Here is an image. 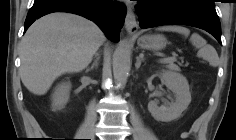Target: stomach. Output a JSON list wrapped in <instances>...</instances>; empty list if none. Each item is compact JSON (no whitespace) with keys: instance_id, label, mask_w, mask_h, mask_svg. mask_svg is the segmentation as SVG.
<instances>
[{"instance_id":"obj_1","label":"stomach","mask_w":236,"mask_h":140,"mask_svg":"<svg viewBox=\"0 0 236 140\" xmlns=\"http://www.w3.org/2000/svg\"><path fill=\"white\" fill-rule=\"evenodd\" d=\"M166 38L163 35H147L139 38L140 47L149 50H161L166 46Z\"/></svg>"}]
</instances>
